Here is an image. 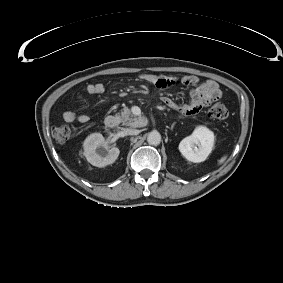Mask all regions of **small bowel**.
<instances>
[{
  "label": "small bowel",
  "instance_id": "obj_1",
  "mask_svg": "<svg viewBox=\"0 0 283 283\" xmlns=\"http://www.w3.org/2000/svg\"><path fill=\"white\" fill-rule=\"evenodd\" d=\"M139 79L146 83L157 85L159 88H166L171 84V80L161 78L160 76L152 73L140 74ZM182 81L187 86L196 85L190 92V99L188 103L181 106V111L184 114H196L203 107L219 100L222 96V91L218 84L213 80L208 79L199 83L197 77L185 76ZM103 91L104 86L101 83H89L86 86V92L89 94H101ZM163 102L169 107L175 106L174 102L169 97H163ZM63 119L69 123L74 121L86 123L90 120V117L87 114H78L73 110H68L64 112Z\"/></svg>",
  "mask_w": 283,
  "mask_h": 283
}]
</instances>
